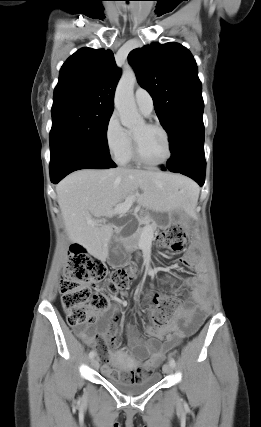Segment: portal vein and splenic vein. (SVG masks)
Instances as JSON below:
<instances>
[{"mask_svg":"<svg viewBox=\"0 0 261 427\" xmlns=\"http://www.w3.org/2000/svg\"><path fill=\"white\" fill-rule=\"evenodd\" d=\"M136 200V195H132L126 199V201L122 204H118L109 214L108 216H112L114 214H125L133 204V202ZM89 225L95 226L98 223L92 219H89L87 221Z\"/></svg>","mask_w":261,"mask_h":427,"instance_id":"portal-vein-and-splenic-vein-1","label":"portal vein and splenic vein"}]
</instances>
